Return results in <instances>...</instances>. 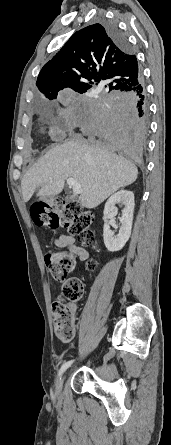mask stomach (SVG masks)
<instances>
[{"instance_id": "1", "label": "stomach", "mask_w": 171, "mask_h": 445, "mask_svg": "<svg viewBox=\"0 0 171 445\" xmlns=\"http://www.w3.org/2000/svg\"><path fill=\"white\" fill-rule=\"evenodd\" d=\"M46 200H47L49 203H52V202H53V198H46Z\"/></svg>"}]
</instances>
